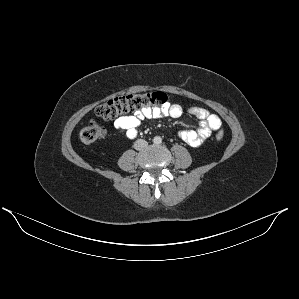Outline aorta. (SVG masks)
Here are the masks:
<instances>
[{
    "label": "aorta",
    "instance_id": "1",
    "mask_svg": "<svg viewBox=\"0 0 299 299\" xmlns=\"http://www.w3.org/2000/svg\"><path fill=\"white\" fill-rule=\"evenodd\" d=\"M161 141H162L161 137H154V139H153V142H154L155 144H160Z\"/></svg>",
    "mask_w": 299,
    "mask_h": 299
}]
</instances>
